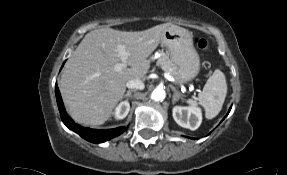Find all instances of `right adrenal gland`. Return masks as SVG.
<instances>
[{
	"label": "right adrenal gland",
	"instance_id": "2a0ac1e0",
	"mask_svg": "<svg viewBox=\"0 0 287 175\" xmlns=\"http://www.w3.org/2000/svg\"><path fill=\"white\" fill-rule=\"evenodd\" d=\"M136 90H128L126 94L124 95L125 98H131L132 97V92H135Z\"/></svg>",
	"mask_w": 287,
	"mask_h": 175
}]
</instances>
